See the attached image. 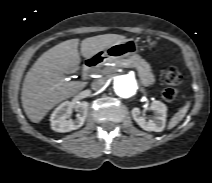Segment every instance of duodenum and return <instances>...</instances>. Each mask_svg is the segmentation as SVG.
I'll use <instances>...</instances> for the list:
<instances>
[{"instance_id":"duodenum-1","label":"duodenum","mask_w":212,"mask_h":183,"mask_svg":"<svg viewBox=\"0 0 212 183\" xmlns=\"http://www.w3.org/2000/svg\"><path fill=\"white\" fill-rule=\"evenodd\" d=\"M101 62H102V58L99 56H92V57L87 58L83 65L84 76L88 75Z\"/></svg>"}]
</instances>
